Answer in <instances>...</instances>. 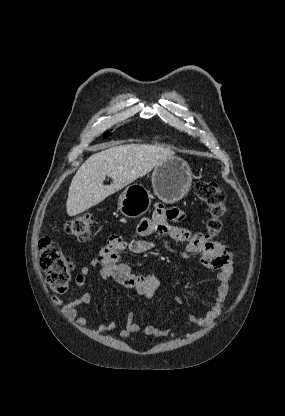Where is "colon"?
Returning <instances> with one entry per match:
<instances>
[{"label":"colon","instance_id":"5ec220e1","mask_svg":"<svg viewBox=\"0 0 285 416\" xmlns=\"http://www.w3.org/2000/svg\"><path fill=\"white\" fill-rule=\"evenodd\" d=\"M195 194L208 208L209 218L206 228L210 236L222 232V218L226 212L225 194L213 182L199 181L195 185ZM94 217L92 214H82L69 220L65 225L68 234L80 242L90 239ZM40 263L46 272L47 283L56 292H64L72 279L74 264L60 246L50 239H42L39 243Z\"/></svg>","mask_w":285,"mask_h":416}]
</instances>
